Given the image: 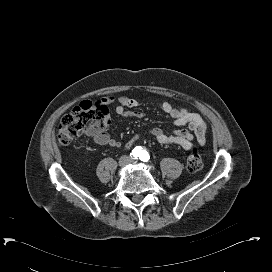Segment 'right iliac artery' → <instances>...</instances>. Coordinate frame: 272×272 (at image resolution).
Here are the masks:
<instances>
[{"label": "right iliac artery", "mask_w": 272, "mask_h": 272, "mask_svg": "<svg viewBox=\"0 0 272 272\" xmlns=\"http://www.w3.org/2000/svg\"><path fill=\"white\" fill-rule=\"evenodd\" d=\"M140 152H141L140 147H137V148L133 149V151H132V153L130 154V156H131L133 159H137V157H139V155H140Z\"/></svg>", "instance_id": "obj_1"}]
</instances>
